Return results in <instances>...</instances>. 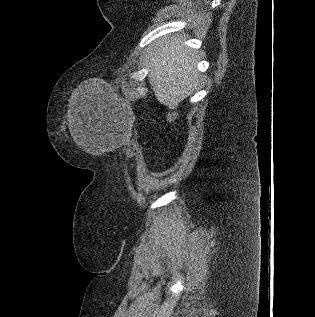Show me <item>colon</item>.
I'll return each mask as SVG.
<instances>
[{"instance_id":"obj_1","label":"colon","mask_w":315,"mask_h":317,"mask_svg":"<svg viewBox=\"0 0 315 317\" xmlns=\"http://www.w3.org/2000/svg\"><path fill=\"white\" fill-rule=\"evenodd\" d=\"M175 117H176V116H175V114H173V113L169 115V118H170L171 120L175 119Z\"/></svg>"}]
</instances>
